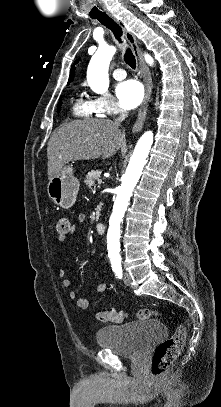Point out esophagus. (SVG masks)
Instances as JSON below:
<instances>
[{"label":"esophagus","instance_id":"34e87169","mask_svg":"<svg viewBox=\"0 0 221 407\" xmlns=\"http://www.w3.org/2000/svg\"><path fill=\"white\" fill-rule=\"evenodd\" d=\"M107 14L111 18H113L116 21V23L121 27L127 41L129 42V44H130V46H131V48L133 50V53H134L135 58L137 60V66H138L142 76L145 79V85H146L145 97H144L143 103H142V105H141V107L139 109L137 119H136V121H135V123H134V125L132 127V132L135 133V132H138V131H140L142 129V127L144 125V122H145L147 108H148V102L150 100V96H151V92H152V86H153L152 85V78H151V74H150L149 69L145 66V64H144V62L142 60L141 52H140V49H139V47L137 45L135 36L129 30L126 29V27H125V25H124V23L122 21L116 19L109 12H107Z\"/></svg>","mask_w":221,"mask_h":407}]
</instances>
